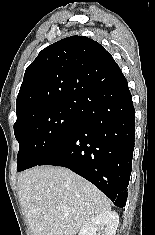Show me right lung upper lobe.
I'll return each mask as SVG.
<instances>
[{"label": "right lung upper lobe", "mask_w": 155, "mask_h": 235, "mask_svg": "<svg viewBox=\"0 0 155 235\" xmlns=\"http://www.w3.org/2000/svg\"><path fill=\"white\" fill-rule=\"evenodd\" d=\"M122 75L111 54L84 37L64 38L43 49L24 75L16 100L17 117L37 107H76L100 84Z\"/></svg>", "instance_id": "right-lung-upper-lobe-1"}]
</instances>
